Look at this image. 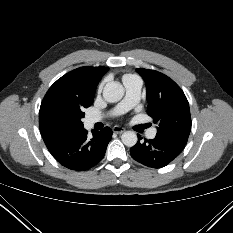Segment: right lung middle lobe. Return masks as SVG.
I'll return each instance as SVG.
<instances>
[{
  "label": "right lung middle lobe",
  "instance_id": "dd1d6c3e",
  "mask_svg": "<svg viewBox=\"0 0 233 233\" xmlns=\"http://www.w3.org/2000/svg\"><path fill=\"white\" fill-rule=\"evenodd\" d=\"M92 103L93 101L84 105H75L66 113V117L73 120L77 125L83 127V123L81 122V119L84 117L83 109L88 108Z\"/></svg>",
  "mask_w": 233,
  "mask_h": 233
}]
</instances>
